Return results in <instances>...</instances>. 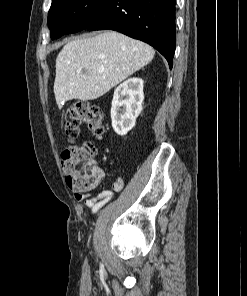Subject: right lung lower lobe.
<instances>
[{
    "instance_id": "right-lung-lower-lobe-1",
    "label": "right lung lower lobe",
    "mask_w": 247,
    "mask_h": 296,
    "mask_svg": "<svg viewBox=\"0 0 247 296\" xmlns=\"http://www.w3.org/2000/svg\"><path fill=\"white\" fill-rule=\"evenodd\" d=\"M176 0H103L88 22L90 30L111 29L157 49L170 69L175 51Z\"/></svg>"
}]
</instances>
